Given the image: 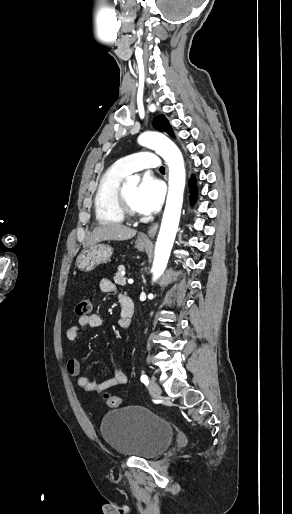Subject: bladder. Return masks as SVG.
<instances>
[{
    "mask_svg": "<svg viewBox=\"0 0 292 514\" xmlns=\"http://www.w3.org/2000/svg\"><path fill=\"white\" fill-rule=\"evenodd\" d=\"M99 430L114 452L141 459L157 457L174 437V429L168 421L139 406L108 412L102 418Z\"/></svg>",
    "mask_w": 292,
    "mask_h": 514,
    "instance_id": "bladder-1",
    "label": "bladder"
}]
</instances>
